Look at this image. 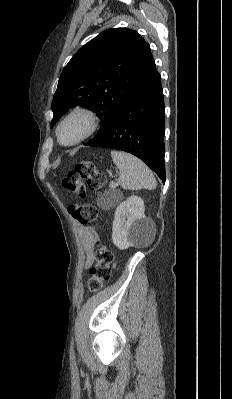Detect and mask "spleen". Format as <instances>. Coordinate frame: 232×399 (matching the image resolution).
<instances>
[{"label": "spleen", "instance_id": "obj_1", "mask_svg": "<svg viewBox=\"0 0 232 399\" xmlns=\"http://www.w3.org/2000/svg\"><path fill=\"white\" fill-rule=\"evenodd\" d=\"M111 158L120 172L118 186L123 190H156V178L141 160L126 152H111Z\"/></svg>", "mask_w": 232, "mask_h": 399}]
</instances>
